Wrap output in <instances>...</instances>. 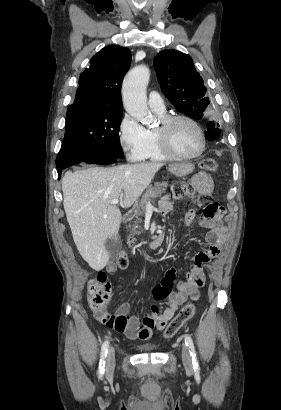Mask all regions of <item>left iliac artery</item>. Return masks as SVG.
<instances>
[{
    "label": "left iliac artery",
    "mask_w": 281,
    "mask_h": 410,
    "mask_svg": "<svg viewBox=\"0 0 281 410\" xmlns=\"http://www.w3.org/2000/svg\"><path fill=\"white\" fill-rule=\"evenodd\" d=\"M185 344L186 346L190 349V355L192 357V363L194 366V369H199V364L197 361V356H196V351L194 348L193 341L189 335H185Z\"/></svg>",
    "instance_id": "1"
}]
</instances>
